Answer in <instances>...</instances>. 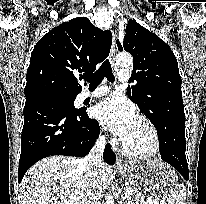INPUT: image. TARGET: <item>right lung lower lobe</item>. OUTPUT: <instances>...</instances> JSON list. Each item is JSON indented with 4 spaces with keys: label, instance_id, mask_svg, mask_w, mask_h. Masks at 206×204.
<instances>
[{
    "label": "right lung lower lobe",
    "instance_id": "obj_1",
    "mask_svg": "<svg viewBox=\"0 0 206 204\" xmlns=\"http://www.w3.org/2000/svg\"><path fill=\"white\" fill-rule=\"evenodd\" d=\"M18 182L37 161L52 155L86 156L99 136V123L85 111H72L66 105L39 100L24 107ZM104 161L113 165L116 156L105 146Z\"/></svg>",
    "mask_w": 206,
    "mask_h": 204
}]
</instances>
